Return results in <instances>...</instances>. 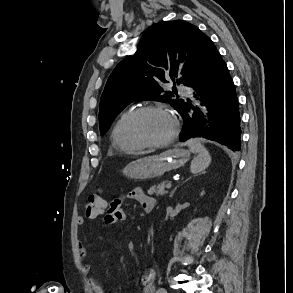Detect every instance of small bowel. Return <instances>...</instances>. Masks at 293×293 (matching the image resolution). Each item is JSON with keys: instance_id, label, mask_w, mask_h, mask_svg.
Returning a JSON list of instances; mask_svg holds the SVG:
<instances>
[{"instance_id": "small-bowel-1", "label": "small bowel", "mask_w": 293, "mask_h": 293, "mask_svg": "<svg viewBox=\"0 0 293 293\" xmlns=\"http://www.w3.org/2000/svg\"><path fill=\"white\" fill-rule=\"evenodd\" d=\"M125 199H132L138 201L146 213L151 212L155 207V199L147 195L144 192V190L140 187H136L130 190L128 194L125 196ZM103 218L104 221L108 224H114L120 221L127 220V213L125 209L122 207V200L115 199L109 205H107ZM79 224L83 225L84 221L80 219ZM78 250L81 257L86 261L82 266V270L84 273H88L90 271V255L87 252L85 246L81 242L78 243ZM88 281L94 293H116L115 291L109 290L106 287L99 284L97 280L94 278H89ZM140 281L142 284V293H155L154 270L144 271L141 275Z\"/></svg>"}]
</instances>
